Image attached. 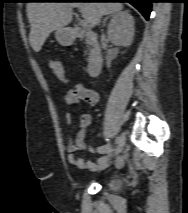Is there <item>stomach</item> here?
Instances as JSON below:
<instances>
[{"label":"stomach","instance_id":"stomach-1","mask_svg":"<svg viewBox=\"0 0 188 213\" xmlns=\"http://www.w3.org/2000/svg\"><path fill=\"white\" fill-rule=\"evenodd\" d=\"M55 38L62 46H69L74 42V36L68 28L57 29L55 32Z\"/></svg>","mask_w":188,"mask_h":213}]
</instances>
